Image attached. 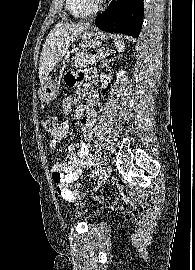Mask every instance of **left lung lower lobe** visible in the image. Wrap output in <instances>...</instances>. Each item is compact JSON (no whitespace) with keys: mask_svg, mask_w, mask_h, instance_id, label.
Listing matches in <instances>:
<instances>
[{"mask_svg":"<svg viewBox=\"0 0 195 270\" xmlns=\"http://www.w3.org/2000/svg\"><path fill=\"white\" fill-rule=\"evenodd\" d=\"M144 16L143 0H117L95 20V25L106 32L122 33L138 38Z\"/></svg>","mask_w":195,"mask_h":270,"instance_id":"1","label":"left lung lower lobe"}]
</instances>
